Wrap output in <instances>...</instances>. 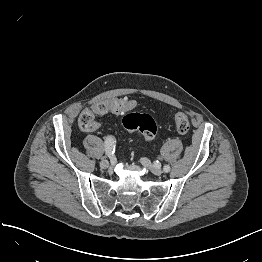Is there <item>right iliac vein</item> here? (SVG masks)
Masks as SVG:
<instances>
[{
  "instance_id": "1",
  "label": "right iliac vein",
  "mask_w": 262,
  "mask_h": 262,
  "mask_svg": "<svg viewBox=\"0 0 262 262\" xmlns=\"http://www.w3.org/2000/svg\"><path fill=\"white\" fill-rule=\"evenodd\" d=\"M110 165H111V163L108 160H106V159H103V160L100 161V166L103 169L109 168Z\"/></svg>"
}]
</instances>
